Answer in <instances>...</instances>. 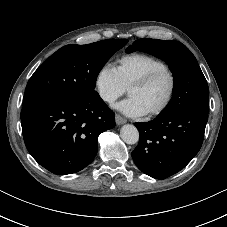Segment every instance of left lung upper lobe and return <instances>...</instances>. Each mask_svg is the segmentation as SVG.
<instances>
[{
  "label": "left lung upper lobe",
  "mask_w": 227,
  "mask_h": 227,
  "mask_svg": "<svg viewBox=\"0 0 227 227\" xmlns=\"http://www.w3.org/2000/svg\"><path fill=\"white\" fill-rule=\"evenodd\" d=\"M142 51L168 64L174 77L173 97L160 115L179 111L208 114L209 88L191 51L173 40L139 39L126 49L127 53Z\"/></svg>",
  "instance_id": "5c2ea615"
}]
</instances>
